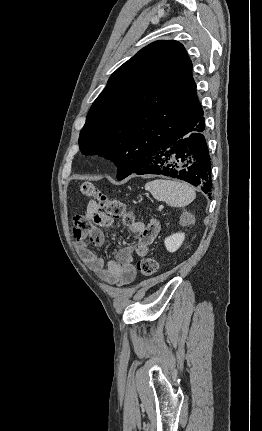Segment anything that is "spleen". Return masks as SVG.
<instances>
[{"mask_svg":"<svg viewBox=\"0 0 262 431\" xmlns=\"http://www.w3.org/2000/svg\"><path fill=\"white\" fill-rule=\"evenodd\" d=\"M145 189L159 201L172 207H184L196 197L194 189L185 182L157 179L145 184Z\"/></svg>","mask_w":262,"mask_h":431,"instance_id":"1","label":"spleen"}]
</instances>
